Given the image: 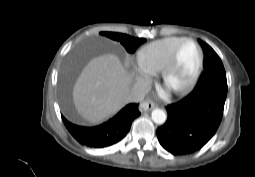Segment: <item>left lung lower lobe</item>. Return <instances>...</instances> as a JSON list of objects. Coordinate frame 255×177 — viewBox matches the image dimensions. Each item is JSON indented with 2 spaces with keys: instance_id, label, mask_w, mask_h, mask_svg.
<instances>
[{
  "instance_id": "0a47b994",
  "label": "left lung lower lobe",
  "mask_w": 255,
  "mask_h": 177,
  "mask_svg": "<svg viewBox=\"0 0 255 177\" xmlns=\"http://www.w3.org/2000/svg\"><path fill=\"white\" fill-rule=\"evenodd\" d=\"M226 96L227 89L195 87L181 101L168 105V119L157 129L162 147L173 155H187L201 149L220 125Z\"/></svg>"
}]
</instances>
